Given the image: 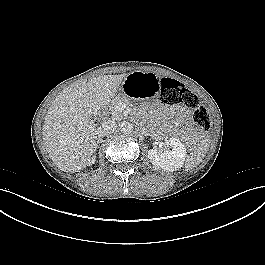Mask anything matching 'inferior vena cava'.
<instances>
[{"label": "inferior vena cava", "mask_w": 265, "mask_h": 265, "mask_svg": "<svg viewBox=\"0 0 265 265\" xmlns=\"http://www.w3.org/2000/svg\"><path fill=\"white\" fill-rule=\"evenodd\" d=\"M117 128V125L114 121L108 120L105 121L98 129V134L100 136H106L112 134Z\"/></svg>", "instance_id": "1"}]
</instances>
